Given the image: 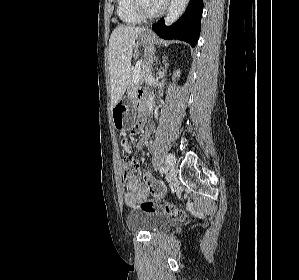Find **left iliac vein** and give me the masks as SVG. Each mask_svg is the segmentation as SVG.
<instances>
[{
    "label": "left iliac vein",
    "mask_w": 299,
    "mask_h": 280,
    "mask_svg": "<svg viewBox=\"0 0 299 280\" xmlns=\"http://www.w3.org/2000/svg\"><path fill=\"white\" fill-rule=\"evenodd\" d=\"M176 177H177V167L173 165L170 169L169 179L171 182H174L176 180Z\"/></svg>",
    "instance_id": "left-iliac-vein-1"
}]
</instances>
